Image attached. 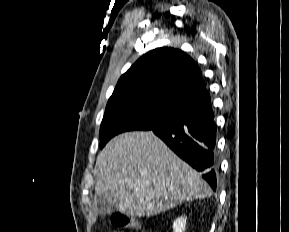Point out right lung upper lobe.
Wrapping results in <instances>:
<instances>
[{
  "mask_svg": "<svg viewBox=\"0 0 289 232\" xmlns=\"http://www.w3.org/2000/svg\"><path fill=\"white\" fill-rule=\"evenodd\" d=\"M141 97L184 110L211 102L194 60L174 48H157L121 76L110 98Z\"/></svg>",
  "mask_w": 289,
  "mask_h": 232,
  "instance_id": "obj_1",
  "label": "right lung upper lobe"
}]
</instances>
